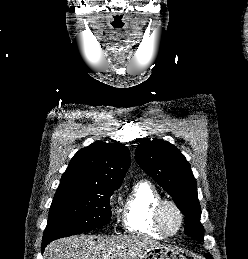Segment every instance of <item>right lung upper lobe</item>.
I'll return each mask as SVG.
<instances>
[{"instance_id":"cb5924a9","label":"right lung upper lobe","mask_w":248,"mask_h":259,"mask_svg":"<svg viewBox=\"0 0 248 259\" xmlns=\"http://www.w3.org/2000/svg\"><path fill=\"white\" fill-rule=\"evenodd\" d=\"M130 166V153L121 143L95 142L79 150L62 175L59 187L119 188Z\"/></svg>"}]
</instances>
